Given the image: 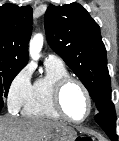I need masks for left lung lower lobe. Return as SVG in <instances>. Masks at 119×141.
Here are the masks:
<instances>
[{
    "instance_id": "obj_1",
    "label": "left lung lower lobe",
    "mask_w": 119,
    "mask_h": 141,
    "mask_svg": "<svg viewBox=\"0 0 119 141\" xmlns=\"http://www.w3.org/2000/svg\"><path fill=\"white\" fill-rule=\"evenodd\" d=\"M95 121L101 126L112 141H118L116 134V112L113 103L102 109Z\"/></svg>"
}]
</instances>
